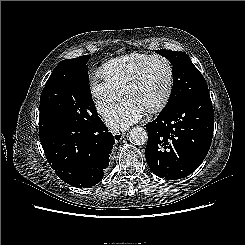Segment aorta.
I'll use <instances>...</instances> for the list:
<instances>
[{
    "label": "aorta",
    "mask_w": 245,
    "mask_h": 245,
    "mask_svg": "<svg viewBox=\"0 0 245 245\" xmlns=\"http://www.w3.org/2000/svg\"><path fill=\"white\" fill-rule=\"evenodd\" d=\"M129 141L134 145H144L148 140V133L142 127H134L129 132Z\"/></svg>",
    "instance_id": "aorta-1"
}]
</instances>
